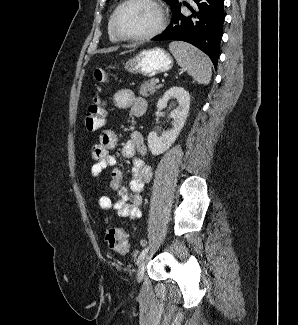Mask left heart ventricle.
Here are the masks:
<instances>
[{"instance_id": "left-heart-ventricle-1", "label": "left heart ventricle", "mask_w": 298, "mask_h": 325, "mask_svg": "<svg viewBox=\"0 0 298 325\" xmlns=\"http://www.w3.org/2000/svg\"><path fill=\"white\" fill-rule=\"evenodd\" d=\"M157 23L152 8L144 4L126 6L117 19V29L125 38H135L150 31Z\"/></svg>"}]
</instances>
